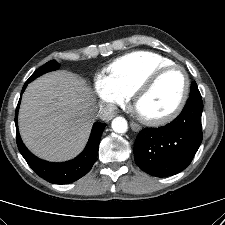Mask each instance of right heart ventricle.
<instances>
[{
	"label": "right heart ventricle",
	"mask_w": 225,
	"mask_h": 225,
	"mask_svg": "<svg viewBox=\"0 0 225 225\" xmlns=\"http://www.w3.org/2000/svg\"><path fill=\"white\" fill-rule=\"evenodd\" d=\"M170 64L172 60L159 54L136 51L115 60L107 69V77L121 92L131 96L147 76Z\"/></svg>",
	"instance_id": "right-heart-ventricle-1"
}]
</instances>
